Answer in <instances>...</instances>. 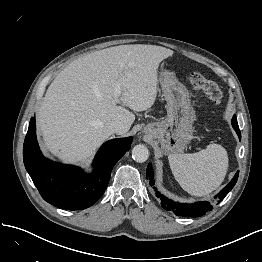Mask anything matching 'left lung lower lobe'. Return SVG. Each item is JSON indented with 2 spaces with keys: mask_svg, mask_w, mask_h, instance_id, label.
Listing matches in <instances>:
<instances>
[{
  "mask_svg": "<svg viewBox=\"0 0 262 262\" xmlns=\"http://www.w3.org/2000/svg\"><path fill=\"white\" fill-rule=\"evenodd\" d=\"M232 126L234 128V130L236 131L239 139L241 140V132L237 123V118L236 116H233L232 118ZM238 173L239 171L236 173V175L233 177V179L231 180V182L225 186L217 195L214 196V199L217 202L222 201L225 196L232 190V188L234 187V185L237 182L238 179ZM146 175H147V179H149V184L150 186H152L156 192V197L160 198L161 200V205L162 207L167 210V211H171L173 212L175 215L177 216H182V217H199L204 215L206 212L212 210V203L208 202V201H200V202H195V203H179V202H175L169 198H167L166 196H164L163 194H161L156 187H154L155 183H154V172H153V168L152 165L149 164L146 170Z\"/></svg>",
  "mask_w": 262,
  "mask_h": 262,
  "instance_id": "0a47b994",
  "label": "left lung lower lobe"
}]
</instances>
